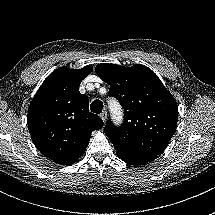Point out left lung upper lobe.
<instances>
[{"label":"left lung upper lobe","mask_w":215,"mask_h":215,"mask_svg":"<svg viewBox=\"0 0 215 215\" xmlns=\"http://www.w3.org/2000/svg\"><path fill=\"white\" fill-rule=\"evenodd\" d=\"M97 75L110 85L109 95L117 98L125 113L122 126L111 121L104 132L117 154L140 159H155L175 133L178 106L175 98L148 67L131 68L98 64Z\"/></svg>","instance_id":"5c2ea615"}]
</instances>
